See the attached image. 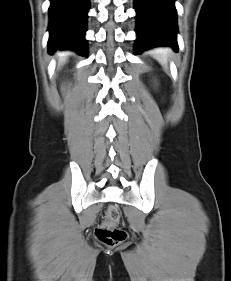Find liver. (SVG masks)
<instances>
[{
    "mask_svg": "<svg viewBox=\"0 0 231 281\" xmlns=\"http://www.w3.org/2000/svg\"><path fill=\"white\" fill-rule=\"evenodd\" d=\"M67 59H68L67 53H59L58 54V65L62 66L63 64L66 63Z\"/></svg>",
    "mask_w": 231,
    "mask_h": 281,
    "instance_id": "1",
    "label": "liver"
}]
</instances>
